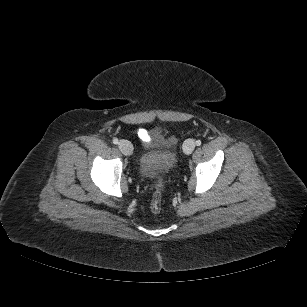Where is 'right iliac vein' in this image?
<instances>
[{"label":"right iliac vein","instance_id":"right-iliac-vein-1","mask_svg":"<svg viewBox=\"0 0 307 307\" xmlns=\"http://www.w3.org/2000/svg\"><path fill=\"white\" fill-rule=\"evenodd\" d=\"M118 147L124 155L129 156L132 154L133 146L129 141L126 140L120 141Z\"/></svg>","mask_w":307,"mask_h":307}]
</instances>
